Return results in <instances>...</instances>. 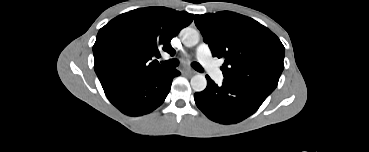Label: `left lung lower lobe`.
Returning <instances> with one entry per match:
<instances>
[{"label": "left lung lower lobe", "instance_id": "1", "mask_svg": "<svg viewBox=\"0 0 369 152\" xmlns=\"http://www.w3.org/2000/svg\"><path fill=\"white\" fill-rule=\"evenodd\" d=\"M207 87L194 95L197 107L221 124L238 123L255 113L270 92L252 85L228 82L218 86L209 76Z\"/></svg>", "mask_w": 369, "mask_h": 152}]
</instances>
